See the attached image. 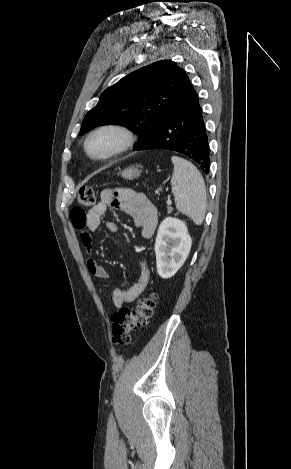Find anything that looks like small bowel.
<instances>
[{"mask_svg": "<svg viewBox=\"0 0 291 469\" xmlns=\"http://www.w3.org/2000/svg\"><path fill=\"white\" fill-rule=\"evenodd\" d=\"M110 207L121 208L128 213L134 221V224L141 229L142 236L149 238L157 224V212L147 197L133 189H106L101 192L98 203L88 212L83 211L80 217L73 216L71 221L78 230L90 231L97 230L104 223V216ZM105 226L108 231L115 233L118 229L114 221H106ZM84 246L90 255L87 259L88 271L95 277L107 279L108 272L92 256V242L87 233L82 234ZM150 274L145 259L140 262V276L138 280L127 289H115L112 293L114 306L120 308L124 304L131 303L137 299L149 284Z\"/></svg>", "mask_w": 291, "mask_h": 469, "instance_id": "c3829d8e", "label": "small bowel"}]
</instances>
